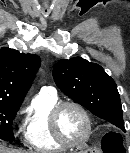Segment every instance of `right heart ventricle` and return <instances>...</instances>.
<instances>
[{
  "label": "right heart ventricle",
  "mask_w": 130,
  "mask_h": 153,
  "mask_svg": "<svg viewBox=\"0 0 130 153\" xmlns=\"http://www.w3.org/2000/svg\"><path fill=\"white\" fill-rule=\"evenodd\" d=\"M58 102L56 93L39 92L28 109L24 138L26 144L36 152H55L65 148L56 141L49 127L50 111Z\"/></svg>",
  "instance_id": "right-heart-ventricle-1"
}]
</instances>
